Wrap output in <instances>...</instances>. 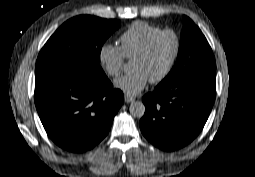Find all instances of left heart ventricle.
Instances as JSON below:
<instances>
[{"label":"left heart ventricle","mask_w":255,"mask_h":177,"mask_svg":"<svg viewBox=\"0 0 255 177\" xmlns=\"http://www.w3.org/2000/svg\"><path fill=\"white\" fill-rule=\"evenodd\" d=\"M174 49L173 36L162 35L155 41L147 56L132 60L131 70L141 71L148 79L156 78L166 68Z\"/></svg>","instance_id":"b2bd125f"}]
</instances>
